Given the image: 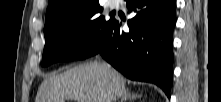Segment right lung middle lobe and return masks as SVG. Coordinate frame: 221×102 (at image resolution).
Instances as JSON below:
<instances>
[{
	"instance_id": "right-lung-middle-lobe-1",
	"label": "right lung middle lobe",
	"mask_w": 221,
	"mask_h": 102,
	"mask_svg": "<svg viewBox=\"0 0 221 102\" xmlns=\"http://www.w3.org/2000/svg\"><path fill=\"white\" fill-rule=\"evenodd\" d=\"M99 1L65 8L46 20L42 66L71 61L92 47L114 19L98 15Z\"/></svg>"
}]
</instances>
